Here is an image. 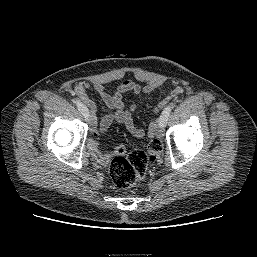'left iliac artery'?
Masks as SVG:
<instances>
[{"label": "left iliac artery", "instance_id": "1", "mask_svg": "<svg viewBox=\"0 0 257 257\" xmlns=\"http://www.w3.org/2000/svg\"><path fill=\"white\" fill-rule=\"evenodd\" d=\"M172 105H168L164 110H163V112H162V114H161V116H160V121L162 122V123H167V120H168V117H169V115H170V113H171V111H172Z\"/></svg>", "mask_w": 257, "mask_h": 257}]
</instances>
